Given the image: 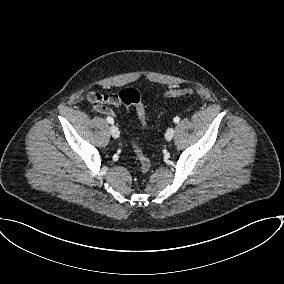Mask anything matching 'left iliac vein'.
<instances>
[{
    "label": "left iliac vein",
    "instance_id": "4c4485c4",
    "mask_svg": "<svg viewBox=\"0 0 284 284\" xmlns=\"http://www.w3.org/2000/svg\"><path fill=\"white\" fill-rule=\"evenodd\" d=\"M174 134H175V130L174 128H169L167 131H166V134H165V138L167 141H171L174 137Z\"/></svg>",
    "mask_w": 284,
    "mask_h": 284
}]
</instances>
